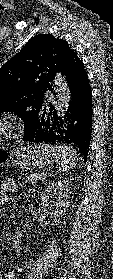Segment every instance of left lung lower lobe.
<instances>
[{"mask_svg":"<svg viewBox=\"0 0 113 279\" xmlns=\"http://www.w3.org/2000/svg\"><path fill=\"white\" fill-rule=\"evenodd\" d=\"M65 77L71 93V101L64 115L57 112L45 97L36 108L32 128L24 133L25 142L68 144L79 150L87 159L92 133V94L82 61L73 51L59 70ZM53 91L51 85L48 87ZM55 95V92H54Z\"/></svg>","mask_w":113,"mask_h":279,"instance_id":"obj_1","label":"left lung lower lobe"}]
</instances>
